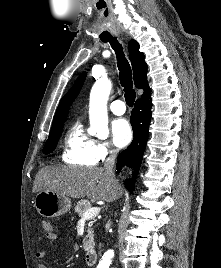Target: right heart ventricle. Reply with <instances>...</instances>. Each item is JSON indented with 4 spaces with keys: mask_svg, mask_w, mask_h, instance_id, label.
<instances>
[{
    "mask_svg": "<svg viewBox=\"0 0 221 268\" xmlns=\"http://www.w3.org/2000/svg\"><path fill=\"white\" fill-rule=\"evenodd\" d=\"M61 158L67 164L84 167L94 166L98 162L95 140L84 131L80 120H77L67 131Z\"/></svg>",
    "mask_w": 221,
    "mask_h": 268,
    "instance_id": "e07e8e85",
    "label": "right heart ventricle"
}]
</instances>
